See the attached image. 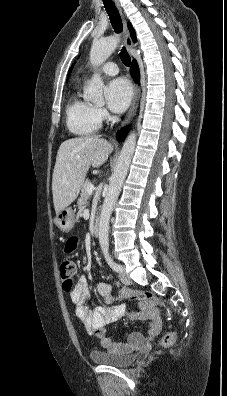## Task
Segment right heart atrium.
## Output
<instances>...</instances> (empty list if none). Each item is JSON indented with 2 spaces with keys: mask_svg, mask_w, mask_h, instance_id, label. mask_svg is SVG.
<instances>
[{
  "mask_svg": "<svg viewBox=\"0 0 227 396\" xmlns=\"http://www.w3.org/2000/svg\"><path fill=\"white\" fill-rule=\"evenodd\" d=\"M95 112L100 121H103L108 117L107 111L102 107H95Z\"/></svg>",
  "mask_w": 227,
  "mask_h": 396,
  "instance_id": "d8ad5b80",
  "label": "right heart atrium"
}]
</instances>
